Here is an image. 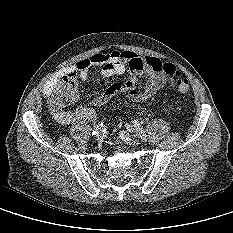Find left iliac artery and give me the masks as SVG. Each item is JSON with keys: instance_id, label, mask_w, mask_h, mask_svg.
Masks as SVG:
<instances>
[{"instance_id": "44dca946", "label": "left iliac artery", "mask_w": 233, "mask_h": 233, "mask_svg": "<svg viewBox=\"0 0 233 233\" xmlns=\"http://www.w3.org/2000/svg\"><path fill=\"white\" fill-rule=\"evenodd\" d=\"M133 125H134V127H136V128L140 131V137H141V139H143V140L146 141V140H147V138H146V133H145V131L143 130L141 124H140L137 120H134V121H133Z\"/></svg>"}]
</instances>
